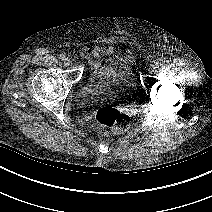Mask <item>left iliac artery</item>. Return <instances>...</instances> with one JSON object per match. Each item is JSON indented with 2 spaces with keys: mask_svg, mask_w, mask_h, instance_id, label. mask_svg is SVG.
Segmentation results:
<instances>
[{
  "mask_svg": "<svg viewBox=\"0 0 212 212\" xmlns=\"http://www.w3.org/2000/svg\"><path fill=\"white\" fill-rule=\"evenodd\" d=\"M160 65H161V63H160V62H156L154 66H155V68H159V67H160Z\"/></svg>",
  "mask_w": 212,
  "mask_h": 212,
  "instance_id": "left-iliac-artery-1",
  "label": "left iliac artery"
}]
</instances>
